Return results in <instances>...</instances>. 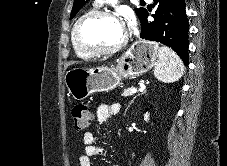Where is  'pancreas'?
<instances>
[{"mask_svg": "<svg viewBox=\"0 0 227 166\" xmlns=\"http://www.w3.org/2000/svg\"><path fill=\"white\" fill-rule=\"evenodd\" d=\"M131 89L132 88H127V89H125L124 91H123V93H122V96H130V95H132L131 94Z\"/></svg>", "mask_w": 227, "mask_h": 166, "instance_id": "1", "label": "pancreas"}]
</instances>
